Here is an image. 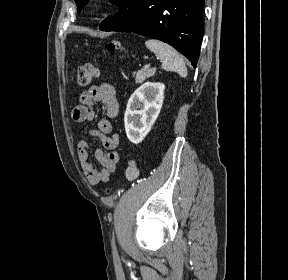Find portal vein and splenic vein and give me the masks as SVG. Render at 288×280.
Here are the masks:
<instances>
[{
    "label": "portal vein and splenic vein",
    "instance_id": "obj_1",
    "mask_svg": "<svg viewBox=\"0 0 288 280\" xmlns=\"http://www.w3.org/2000/svg\"><path fill=\"white\" fill-rule=\"evenodd\" d=\"M146 67H150V64H149V65H147Z\"/></svg>",
    "mask_w": 288,
    "mask_h": 280
}]
</instances>
